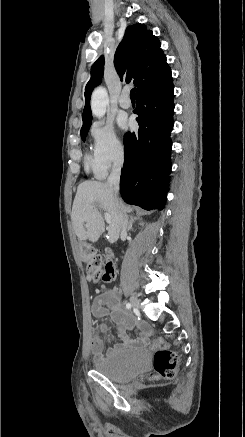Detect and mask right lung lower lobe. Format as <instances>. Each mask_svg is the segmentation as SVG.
I'll return each mask as SVG.
<instances>
[{
  "label": "right lung lower lobe",
  "mask_w": 245,
  "mask_h": 437,
  "mask_svg": "<svg viewBox=\"0 0 245 437\" xmlns=\"http://www.w3.org/2000/svg\"><path fill=\"white\" fill-rule=\"evenodd\" d=\"M173 81L136 95L138 132L124 136L120 193L128 204L162 210L171 173Z\"/></svg>",
  "instance_id": "1"
}]
</instances>
